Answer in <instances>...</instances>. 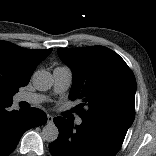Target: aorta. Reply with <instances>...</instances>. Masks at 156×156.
I'll return each mask as SVG.
<instances>
[{
    "mask_svg": "<svg viewBox=\"0 0 156 156\" xmlns=\"http://www.w3.org/2000/svg\"><path fill=\"white\" fill-rule=\"evenodd\" d=\"M32 82L38 91H47L52 87L53 79L50 72L40 70L33 74ZM41 134L47 142H54L58 138L59 130L54 123H48L43 127Z\"/></svg>",
    "mask_w": 156,
    "mask_h": 156,
    "instance_id": "1",
    "label": "aorta"
}]
</instances>
